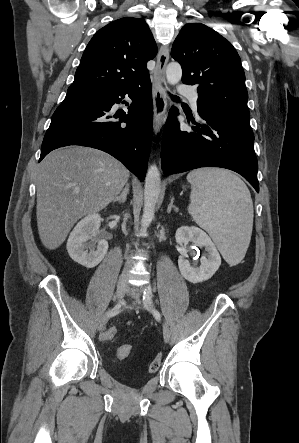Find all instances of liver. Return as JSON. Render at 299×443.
<instances>
[{
  "label": "liver",
  "instance_id": "liver-1",
  "mask_svg": "<svg viewBox=\"0 0 299 443\" xmlns=\"http://www.w3.org/2000/svg\"><path fill=\"white\" fill-rule=\"evenodd\" d=\"M129 175L121 162L100 150L75 146L49 153L36 175L42 244L58 248L78 219L101 211L117 197Z\"/></svg>",
  "mask_w": 299,
  "mask_h": 443
}]
</instances>
